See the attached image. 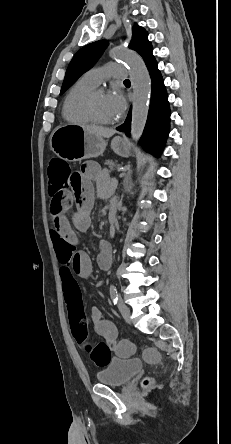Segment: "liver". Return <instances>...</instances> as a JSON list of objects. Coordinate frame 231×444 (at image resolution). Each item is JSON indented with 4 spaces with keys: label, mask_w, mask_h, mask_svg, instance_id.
<instances>
[{
    "label": "liver",
    "mask_w": 231,
    "mask_h": 444,
    "mask_svg": "<svg viewBox=\"0 0 231 444\" xmlns=\"http://www.w3.org/2000/svg\"><path fill=\"white\" fill-rule=\"evenodd\" d=\"M81 127L100 138H110L115 134V130L109 128L92 126V125H82Z\"/></svg>",
    "instance_id": "liver-1"
}]
</instances>
